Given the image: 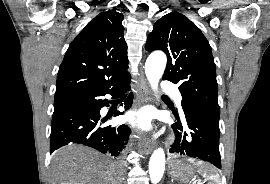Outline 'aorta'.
Segmentation results:
<instances>
[{"label":"aorta","mask_w":270,"mask_h":184,"mask_svg":"<svg viewBox=\"0 0 270 184\" xmlns=\"http://www.w3.org/2000/svg\"><path fill=\"white\" fill-rule=\"evenodd\" d=\"M167 58L163 52L156 51L149 55L145 63V74L151 85L156 91L158 83L164 73ZM165 170V153L162 148L156 149L149 161V175L153 184H157Z\"/></svg>","instance_id":"obj_1"}]
</instances>
